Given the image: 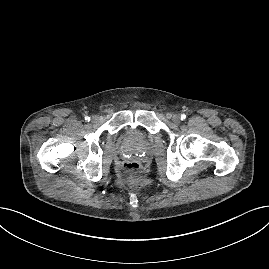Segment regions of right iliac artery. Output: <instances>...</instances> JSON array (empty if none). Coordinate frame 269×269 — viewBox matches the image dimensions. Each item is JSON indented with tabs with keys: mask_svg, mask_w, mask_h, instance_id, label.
Wrapping results in <instances>:
<instances>
[{
	"mask_svg": "<svg viewBox=\"0 0 269 269\" xmlns=\"http://www.w3.org/2000/svg\"><path fill=\"white\" fill-rule=\"evenodd\" d=\"M90 119H91V118H90L89 116H86V117H85V120H86V121H90Z\"/></svg>",
	"mask_w": 269,
	"mask_h": 269,
	"instance_id": "obj_1",
	"label": "right iliac artery"
}]
</instances>
